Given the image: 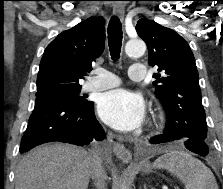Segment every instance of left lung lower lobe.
I'll use <instances>...</instances> for the list:
<instances>
[{"instance_id":"0a47b994","label":"left lung lower lobe","mask_w":223,"mask_h":189,"mask_svg":"<svg viewBox=\"0 0 223 189\" xmlns=\"http://www.w3.org/2000/svg\"><path fill=\"white\" fill-rule=\"evenodd\" d=\"M177 137L167 136L165 134L152 137L149 142L151 145H162L163 143L178 141ZM186 148L200 156H206L209 152L206 142H201L195 139H186L183 141Z\"/></svg>"}]
</instances>
